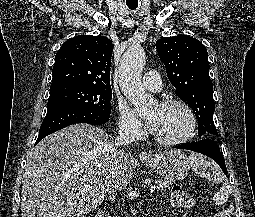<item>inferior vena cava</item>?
I'll use <instances>...</instances> for the list:
<instances>
[{
	"instance_id": "602c4592",
	"label": "inferior vena cava",
	"mask_w": 255,
	"mask_h": 217,
	"mask_svg": "<svg viewBox=\"0 0 255 217\" xmlns=\"http://www.w3.org/2000/svg\"><path fill=\"white\" fill-rule=\"evenodd\" d=\"M135 131L132 128H120L119 134L115 139V143L111 147L110 160H109V180H108V189L107 193L109 195V200L115 201V192H116V175L118 173V164H119V146H126L132 143L135 140Z\"/></svg>"
}]
</instances>
